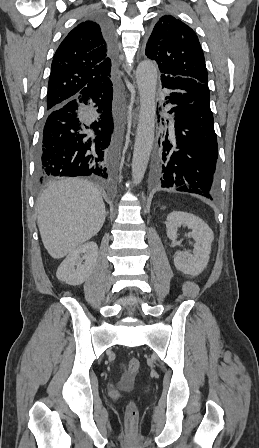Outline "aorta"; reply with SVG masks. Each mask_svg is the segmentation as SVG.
I'll return each mask as SVG.
<instances>
[{"mask_svg": "<svg viewBox=\"0 0 259 448\" xmlns=\"http://www.w3.org/2000/svg\"><path fill=\"white\" fill-rule=\"evenodd\" d=\"M157 65L149 60L142 61L136 69V82L140 95L139 120L132 159L134 184L141 183L150 158L155 129Z\"/></svg>", "mask_w": 259, "mask_h": 448, "instance_id": "762f6f07", "label": "aorta"}]
</instances>
